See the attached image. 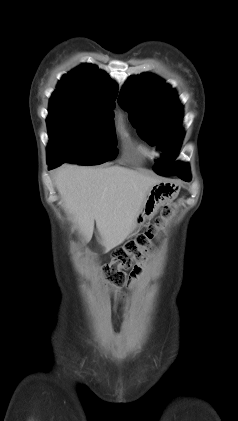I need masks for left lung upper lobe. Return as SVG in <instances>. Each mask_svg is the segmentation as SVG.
<instances>
[{"label":"left lung upper lobe","mask_w":238,"mask_h":421,"mask_svg":"<svg viewBox=\"0 0 238 421\" xmlns=\"http://www.w3.org/2000/svg\"><path fill=\"white\" fill-rule=\"evenodd\" d=\"M118 103L128 111L140 137L162 150L163 160L155 166L157 173L182 174L189 170L186 163H170L175 159L183 138L179 132L183 108L169 85L150 74L131 77L123 86Z\"/></svg>","instance_id":"5c2ea615"}]
</instances>
